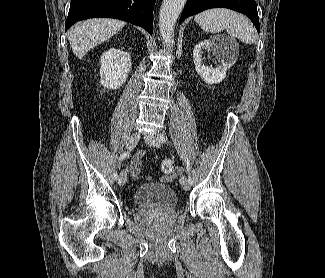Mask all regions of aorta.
I'll list each match as a JSON object with an SVG mask.
<instances>
[{
    "label": "aorta",
    "mask_w": 325,
    "mask_h": 278,
    "mask_svg": "<svg viewBox=\"0 0 325 278\" xmlns=\"http://www.w3.org/2000/svg\"><path fill=\"white\" fill-rule=\"evenodd\" d=\"M186 0H163L159 13V31L164 44L172 47L175 23L182 12Z\"/></svg>",
    "instance_id": "obj_1"
}]
</instances>
